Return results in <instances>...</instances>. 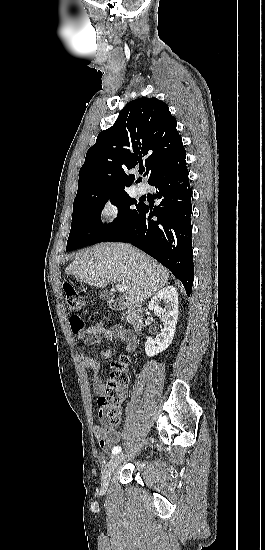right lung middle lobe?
<instances>
[{
    "mask_svg": "<svg viewBox=\"0 0 265 550\" xmlns=\"http://www.w3.org/2000/svg\"><path fill=\"white\" fill-rule=\"evenodd\" d=\"M109 199L112 204L120 208V215L117 221L104 225L100 216ZM133 205L136 207L134 208ZM142 206L143 203H138L126 191L85 199L76 197L66 251L106 241L111 235L131 222Z\"/></svg>",
    "mask_w": 265,
    "mask_h": 550,
    "instance_id": "right-lung-middle-lobe-1",
    "label": "right lung middle lobe"
}]
</instances>
